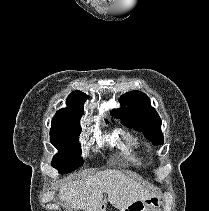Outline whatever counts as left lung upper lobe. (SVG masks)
<instances>
[{"mask_svg": "<svg viewBox=\"0 0 209 211\" xmlns=\"http://www.w3.org/2000/svg\"><path fill=\"white\" fill-rule=\"evenodd\" d=\"M119 101L124 107L114 110L113 115L120 118L122 124L143 132L155 145L163 144L161 119L144 93L128 92Z\"/></svg>", "mask_w": 209, "mask_h": 211, "instance_id": "5c2ea615", "label": "left lung upper lobe"}]
</instances>
